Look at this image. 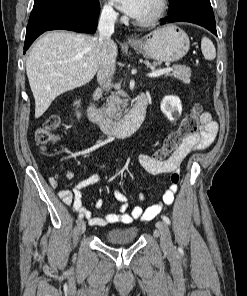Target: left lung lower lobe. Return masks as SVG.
Segmentation results:
<instances>
[{"instance_id":"1","label":"left lung lower lobe","mask_w":247,"mask_h":296,"mask_svg":"<svg viewBox=\"0 0 247 296\" xmlns=\"http://www.w3.org/2000/svg\"><path fill=\"white\" fill-rule=\"evenodd\" d=\"M165 22H190L198 24L217 35L215 18L210 0H188L184 5L174 11L168 12Z\"/></svg>"}]
</instances>
